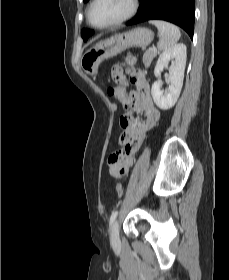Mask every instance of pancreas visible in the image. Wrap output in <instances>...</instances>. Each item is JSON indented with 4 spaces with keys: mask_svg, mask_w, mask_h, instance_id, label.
Here are the masks:
<instances>
[{
    "mask_svg": "<svg viewBox=\"0 0 229 280\" xmlns=\"http://www.w3.org/2000/svg\"><path fill=\"white\" fill-rule=\"evenodd\" d=\"M157 51H152L151 49L145 51L143 55V63L145 67H149L153 58L156 57Z\"/></svg>",
    "mask_w": 229,
    "mask_h": 280,
    "instance_id": "pancreas-1",
    "label": "pancreas"
}]
</instances>
